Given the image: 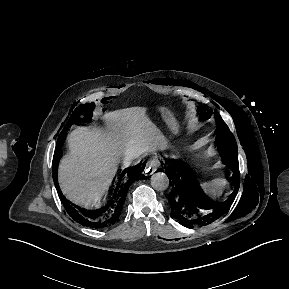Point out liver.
<instances>
[{"label":"liver","mask_w":289,"mask_h":289,"mask_svg":"<svg viewBox=\"0 0 289 289\" xmlns=\"http://www.w3.org/2000/svg\"><path fill=\"white\" fill-rule=\"evenodd\" d=\"M108 130L78 128L68 136L70 153L59 164L58 181L67 199L86 208L107 192L120 157L165 147L167 140L146 109L132 107L106 114Z\"/></svg>","instance_id":"6515ba94"}]
</instances>
